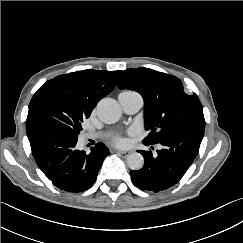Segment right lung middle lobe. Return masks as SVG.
<instances>
[{"label":"right lung middle lobe","mask_w":243,"mask_h":243,"mask_svg":"<svg viewBox=\"0 0 243 243\" xmlns=\"http://www.w3.org/2000/svg\"><path fill=\"white\" fill-rule=\"evenodd\" d=\"M90 115L82 112L63 95L54 91L35 94L29 105L26 124L49 123L78 138L82 122Z\"/></svg>","instance_id":"right-lung-middle-lobe-1"}]
</instances>
